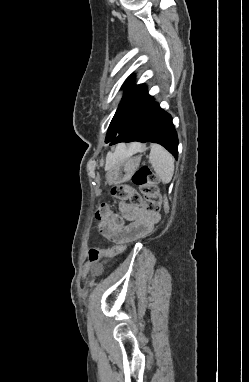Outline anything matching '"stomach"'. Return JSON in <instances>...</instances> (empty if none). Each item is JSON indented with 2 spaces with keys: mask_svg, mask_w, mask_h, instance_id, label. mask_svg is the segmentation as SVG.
<instances>
[{
  "mask_svg": "<svg viewBox=\"0 0 249 382\" xmlns=\"http://www.w3.org/2000/svg\"><path fill=\"white\" fill-rule=\"evenodd\" d=\"M141 156L113 158L106 169V183L120 184L128 181L139 167Z\"/></svg>",
  "mask_w": 249,
  "mask_h": 382,
  "instance_id": "stomach-1",
  "label": "stomach"
}]
</instances>
